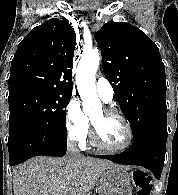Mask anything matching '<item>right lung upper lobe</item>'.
Masks as SVG:
<instances>
[{"label": "right lung upper lobe", "mask_w": 178, "mask_h": 195, "mask_svg": "<svg viewBox=\"0 0 178 195\" xmlns=\"http://www.w3.org/2000/svg\"><path fill=\"white\" fill-rule=\"evenodd\" d=\"M75 45V33L65 18L32 29L12 60L9 96L29 90L72 94Z\"/></svg>", "instance_id": "right-lung-upper-lobe-1"}]
</instances>
